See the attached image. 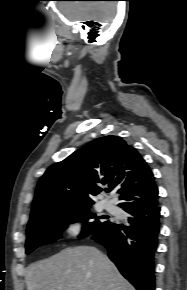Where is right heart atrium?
I'll list each match as a JSON object with an SVG mask.
<instances>
[{
    "label": "right heart atrium",
    "mask_w": 187,
    "mask_h": 290,
    "mask_svg": "<svg viewBox=\"0 0 187 290\" xmlns=\"http://www.w3.org/2000/svg\"><path fill=\"white\" fill-rule=\"evenodd\" d=\"M85 226L82 220L73 219L67 222L65 226V233L69 239H76L84 232Z\"/></svg>",
    "instance_id": "obj_1"
}]
</instances>
